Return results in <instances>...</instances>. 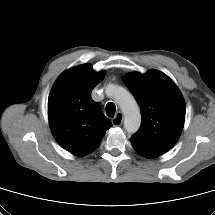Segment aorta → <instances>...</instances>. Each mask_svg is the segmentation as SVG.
Masks as SVG:
<instances>
[{
	"label": "aorta",
	"instance_id": "obj_1",
	"mask_svg": "<svg viewBox=\"0 0 215 215\" xmlns=\"http://www.w3.org/2000/svg\"><path fill=\"white\" fill-rule=\"evenodd\" d=\"M106 93L111 95L124 114V128L129 133H135L141 124L140 109L134 97L123 87L110 85Z\"/></svg>",
	"mask_w": 215,
	"mask_h": 215
}]
</instances>
